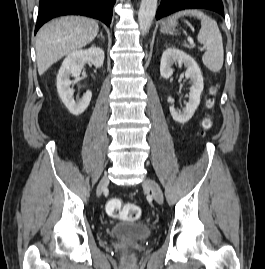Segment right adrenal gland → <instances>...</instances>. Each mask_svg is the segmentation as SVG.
Instances as JSON below:
<instances>
[{
  "label": "right adrenal gland",
  "instance_id": "obj_1",
  "mask_svg": "<svg viewBox=\"0 0 265 269\" xmlns=\"http://www.w3.org/2000/svg\"><path fill=\"white\" fill-rule=\"evenodd\" d=\"M102 38L103 40H105V37L103 36V33L102 32H100V34L98 35V38Z\"/></svg>",
  "mask_w": 265,
  "mask_h": 269
}]
</instances>
